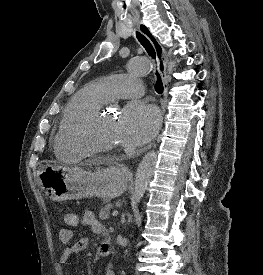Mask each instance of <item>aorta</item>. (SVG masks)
I'll list each match as a JSON object with an SVG mask.
<instances>
[{"label": "aorta", "mask_w": 263, "mask_h": 275, "mask_svg": "<svg viewBox=\"0 0 263 275\" xmlns=\"http://www.w3.org/2000/svg\"><path fill=\"white\" fill-rule=\"evenodd\" d=\"M128 69L132 74L142 75L152 71L151 63L144 58H134L128 63ZM157 152L150 151L142 159L139 164L135 176L134 192L132 203L136 205L140 202L148 187L151 177L153 176L157 164Z\"/></svg>", "instance_id": "1"}]
</instances>
